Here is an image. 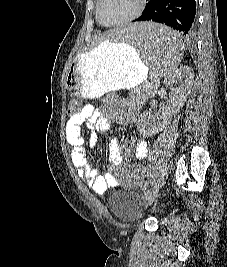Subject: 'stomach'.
Returning a JSON list of instances; mask_svg holds the SVG:
<instances>
[{
  "mask_svg": "<svg viewBox=\"0 0 227 267\" xmlns=\"http://www.w3.org/2000/svg\"><path fill=\"white\" fill-rule=\"evenodd\" d=\"M67 73V87L75 96L97 98L102 94L138 86L147 77L150 63L139 59L136 47L105 41L77 55Z\"/></svg>",
  "mask_w": 227,
  "mask_h": 267,
  "instance_id": "obj_1",
  "label": "stomach"
}]
</instances>
